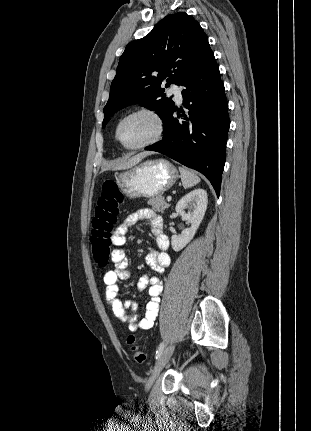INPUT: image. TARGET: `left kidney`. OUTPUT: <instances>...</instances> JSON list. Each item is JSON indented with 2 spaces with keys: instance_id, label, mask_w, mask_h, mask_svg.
Returning <instances> with one entry per match:
<instances>
[{
  "instance_id": "5707ae66",
  "label": "left kidney",
  "mask_w": 311,
  "mask_h": 431,
  "mask_svg": "<svg viewBox=\"0 0 311 431\" xmlns=\"http://www.w3.org/2000/svg\"><path fill=\"white\" fill-rule=\"evenodd\" d=\"M207 192L205 190H193V192H189L186 196H183L179 202L176 204V212L181 216V219L184 221H189L191 223V227H186L183 229L180 235H172L171 237V245L174 251H180L183 249L187 243H189L190 239L194 237L203 217L205 216V212L207 210ZM188 210V212H185Z\"/></svg>"
}]
</instances>
